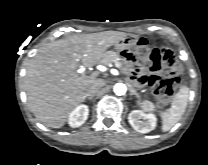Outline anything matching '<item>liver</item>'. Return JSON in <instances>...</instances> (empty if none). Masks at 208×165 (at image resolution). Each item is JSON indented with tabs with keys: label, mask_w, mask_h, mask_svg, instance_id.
I'll return each mask as SVG.
<instances>
[{
	"label": "liver",
	"mask_w": 208,
	"mask_h": 165,
	"mask_svg": "<svg viewBox=\"0 0 208 165\" xmlns=\"http://www.w3.org/2000/svg\"><path fill=\"white\" fill-rule=\"evenodd\" d=\"M126 36L118 31L76 34L53 41L37 53L25 80L28 104L36 118L49 127H62L99 76L97 71L79 73L80 62L85 67L95 66L110 46Z\"/></svg>",
	"instance_id": "obj_1"
}]
</instances>
